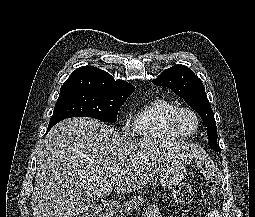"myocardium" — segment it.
<instances>
[{
	"label": "myocardium",
	"mask_w": 255,
	"mask_h": 217,
	"mask_svg": "<svg viewBox=\"0 0 255 217\" xmlns=\"http://www.w3.org/2000/svg\"><path fill=\"white\" fill-rule=\"evenodd\" d=\"M183 115L191 116L195 121V129L193 131H186L182 126L181 118ZM169 121L172 128L183 137L194 136L200 128V118L198 114L187 107H176L169 116Z\"/></svg>",
	"instance_id": "f54148a6"
}]
</instances>
